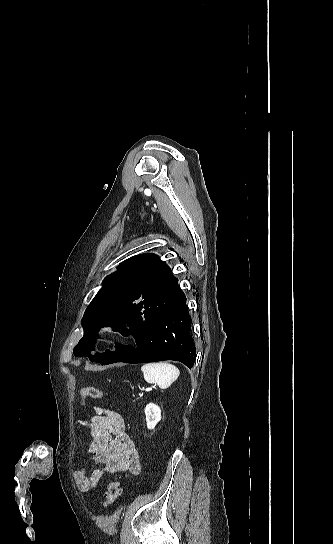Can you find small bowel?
<instances>
[{"label": "small bowel", "instance_id": "1", "mask_svg": "<svg viewBox=\"0 0 333 544\" xmlns=\"http://www.w3.org/2000/svg\"><path fill=\"white\" fill-rule=\"evenodd\" d=\"M86 425L91 435L87 452L97 467L90 472L85 468L74 472V479L81 491L91 490L106 474L123 471L139 473V454L119 413L96 407L95 415Z\"/></svg>", "mask_w": 333, "mask_h": 544}]
</instances>
